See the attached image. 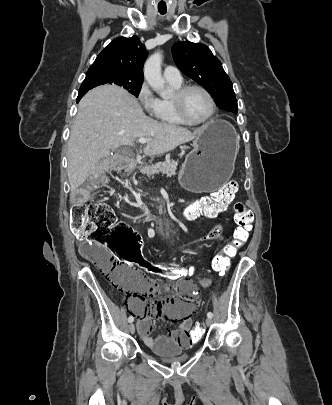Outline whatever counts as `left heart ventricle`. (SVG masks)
<instances>
[{"instance_id":"1","label":"left heart ventricle","mask_w":332,"mask_h":405,"mask_svg":"<svg viewBox=\"0 0 332 405\" xmlns=\"http://www.w3.org/2000/svg\"><path fill=\"white\" fill-rule=\"evenodd\" d=\"M184 107L187 117L194 121L206 118L211 112L208 97L199 90H191L187 93Z\"/></svg>"}]
</instances>
